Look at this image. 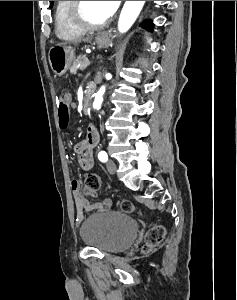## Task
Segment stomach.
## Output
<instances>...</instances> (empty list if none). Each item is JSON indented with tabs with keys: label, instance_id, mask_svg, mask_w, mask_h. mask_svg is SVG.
I'll return each instance as SVG.
<instances>
[{
	"label": "stomach",
	"instance_id": "0dacf381",
	"mask_svg": "<svg viewBox=\"0 0 237 300\" xmlns=\"http://www.w3.org/2000/svg\"><path fill=\"white\" fill-rule=\"evenodd\" d=\"M89 39H95V43H97L98 47H103V49L110 47L112 41L111 33H108V31L96 33V35H92ZM48 57L53 73L61 77V75H65L66 71L71 67L75 59V53L72 47H51Z\"/></svg>",
	"mask_w": 237,
	"mask_h": 300
}]
</instances>
